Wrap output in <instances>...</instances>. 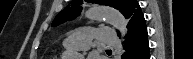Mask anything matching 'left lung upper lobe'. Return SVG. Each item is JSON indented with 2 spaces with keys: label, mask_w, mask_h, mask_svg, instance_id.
<instances>
[{
  "label": "left lung upper lobe",
  "mask_w": 193,
  "mask_h": 59,
  "mask_svg": "<svg viewBox=\"0 0 193 59\" xmlns=\"http://www.w3.org/2000/svg\"><path fill=\"white\" fill-rule=\"evenodd\" d=\"M86 2L97 3L100 5H108L115 9H118L127 19H131L135 12H141L140 6L136 0H85ZM82 4L80 0H73L72 7L70 9H65L60 12L54 19L52 26H57L67 19L71 20L79 15L81 11Z\"/></svg>",
  "instance_id": "1"
}]
</instances>
